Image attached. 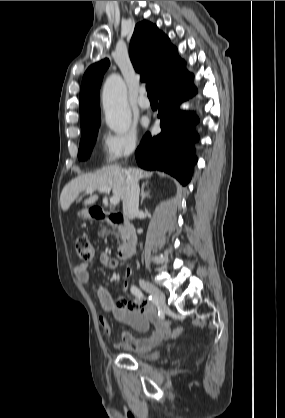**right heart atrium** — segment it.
Instances as JSON below:
<instances>
[{
  "instance_id": "obj_1",
  "label": "right heart atrium",
  "mask_w": 285,
  "mask_h": 418,
  "mask_svg": "<svg viewBox=\"0 0 285 418\" xmlns=\"http://www.w3.org/2000/svg\"><path fill=\"white\" fill-rule=\"evenodd\" d=\"M138 144V133L134 127L124 133L106 134L103 142L105 162L113 164L129 157L136 151Z\"/></svg>"
}]
</instances>
